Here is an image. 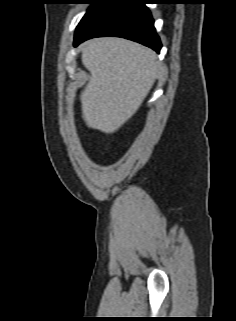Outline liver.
I'll return each mask as SVG.
<instances>
[{"mask_svg":"<svg viewBox=\"0 0 236 321\" xmlns=\"http://www.w3.org/2000/svg\"><path fill=\"white\" fill-rule=\"evenodd\" d=\"M82 63L91 73L80 95L86 125L110 134L139 109L158 76L155 53L117 37L92 39L82 47Z\"/></svg>","mask_w":236,"mask_h":321,"instance_id":"obj_1","label":"liver"}]
</instances>
